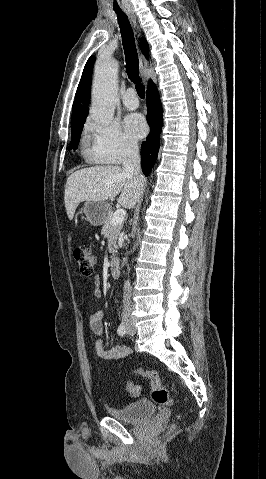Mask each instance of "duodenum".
I'll return each instance as SVG.
<instances>
[{
  "instance_id": "obj_1",
  "label": "duodenum",
  "mask_w": 266,
  "mask_h": 479,
  "mask_svg": "<svg viewBox=\"0 0 266 479\" xmlns=\"http://www.w3.org/2000/svg\"><path fill=\"white\" fill-rule=\"evenodd\" d=\"M110 272L113 278L120 276V260L117 257L112 258L110 262Z\"/></svg>"
}]
</instances>
